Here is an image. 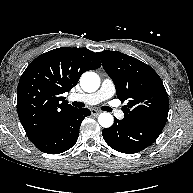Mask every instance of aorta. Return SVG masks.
Instances as JSON below:
<instances>
[{
    "mask_svg": "<svg viewBox=\"0 0 193 193\" xmlns=\"http://www.w3.org/2000/svg\"><path fill=\"white\" fill-rule=\"evenodd\" d=\"M80 86L85 92H95L100 86V77L95 72H85L80 78ZM98 122L102 127L109 128L113 125L114 118L110 113L103 112L99 115Z\"/></svg>",
    "mask_w": 193,
    "mask_h": 193,
    "instance_id": "obj_1",
    "label": "aorta"
}]
</instances>
